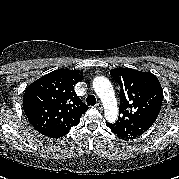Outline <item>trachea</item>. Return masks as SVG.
Returning <instances> with one entry per match:
<instances>
[{"label":"trachea","instance_id":"3493384b","mask_svg":"<svg viewBox=\"0 0 179 179\" xmlns=\"http://www.w3.org/2000/svg\"><path fill=\"white\" fill-rule=\"evenodd\" d=\"M86 102L88 105H91V106H94L96 104V98L94 95H89L87 98H86Z\"/></svg>","mask_w":179,"mask_h":179}]
</instances>
